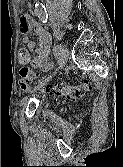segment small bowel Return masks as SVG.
<instances>
[{"instance_id": "c3829d8e", "label": "small bowel", "mask_w": 123, "mask_h": 167, "mask_svg": "<svg viewBox=\"0 0 123 167\" xmlns=\"http://www.w3.org/2000/svg\"><path fill=\"white\" fill-rule=\"evenodd\" d=\"M33 28L37 34V44L30 38L29 30ZM20 34H22V42L30 51H36L35 58L31 61L33 67L41 68L43 70L50 69L48 61V52L51 43L48 33L30 16L25 15L20 19ZM21 88L28 89V83L22 81Z\"/></svg>"}]
</instances>
